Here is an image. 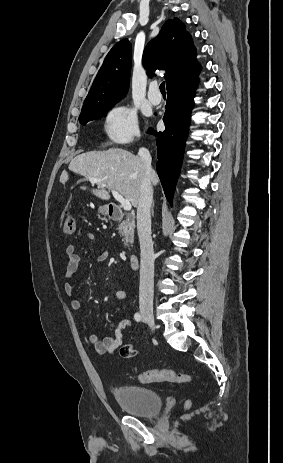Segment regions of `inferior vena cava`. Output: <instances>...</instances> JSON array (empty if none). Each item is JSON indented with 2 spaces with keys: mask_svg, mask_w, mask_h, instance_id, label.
I'll return each mask as SVG.
<instances>
[{
  "mask_svg": "<svg viewBox=\"0 0 283 463\" xmlns=\"http://www.w3.org/2000/svg\"><path fill=\"white\" fill-rule=\"evenodd\" d=\"M138 155L142 160L146 176L140 187L137 206V230L141 250L139 308L141 311H153L154 294V250L151 238V205L153 188L151 184V155L146 148H140Z\"/></svg>",
  "mask_w": 283,
  "mask_h": 463,
  "instance_id": "602c4592",
  "label": "inferior vena cava"
}]
</instances>
